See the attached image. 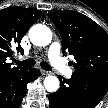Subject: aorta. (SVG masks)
I'll use <instances>...</instances> for the list:
<instances>
[{
    "label": "aorta",
    "mask_w": 108,
    "mask_h": 108,
    "mask_svg": "<svg viewBox=\"0 0 108 108\" xmlns=\"http://www.w3.org/2000/svg\"><path fill=\"white\" fill-rule=\"evenodd\" d=\"M29 38L36 46H47L52 41V32L49 27L43 24L33 25L29 30ZM60 82L56 76H47L44 79V87L48 92H56Z\"/></svg>",
    "instance_id": "1"
}]
</instances>
